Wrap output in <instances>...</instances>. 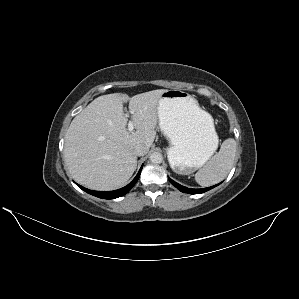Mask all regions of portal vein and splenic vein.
<instances>
[{
	"instance_id": "obj_1",
	"label": "portal vein and splenic vein",
	"mask_w": 299,
	"mask_h": 299,
	"mask_svg": "<svg viewBox=\"0 0 299 299\" xmlns=\"http://www.w3.org/2000/svg\"><path fill=\"white\" fill-rule=\"evenodd\" d=\"M133 129H134V124H133L132 121H129V123H128V131H129V132H132Z\"/></svg>"
}]
</instances>
